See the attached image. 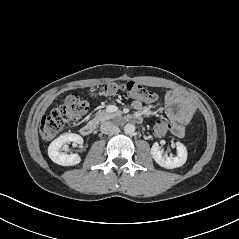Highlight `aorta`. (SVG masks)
<instances>
[{"label": "aorta", "instance_id": "762f6f07", "mask_svg": "<svg viewBox=\"0 0 239 239\" xmlns=\"http://www.w3.org/2000/svg\"><path fill=\"white\" fill-rule=\"evenodd\" d=\"M124 132L126 133V134H133L134 132H135V126L133 125V124H126L125 126H124Z\"/></svg>", "mask_w": 239, "mask_h": 239}]
</instances>
